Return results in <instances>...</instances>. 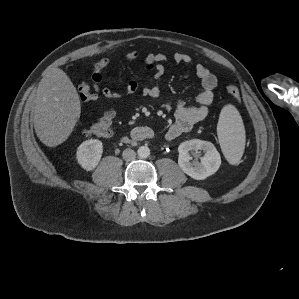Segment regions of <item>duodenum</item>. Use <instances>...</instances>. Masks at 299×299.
Returning a JSON list of instances; mask_svg holds the SVG:
<instances>
[{
  "mask_svg": "<svg viewBox=\"0 0 299 299\" xmlns=\"http://www.w3.org/2000/svg\"><path fill=\"white\" fill-rule=\"evenodd\" d=\"M152 137H153V132L148 127H138L133 131L131 135V138L133 140H145Z\"/></svg>",
  "mask_w": 299,
  "mask_h": 299,
  "instance_id": "duodenum-1",
  "label": "duodenum"
}]
</instances>
